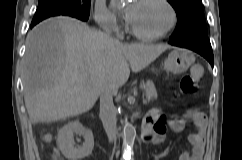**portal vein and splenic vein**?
I'll return each mask as SVG.
<instances>
[{
  "mask_svg": "<svg viewBox=\"0 0 242 160\" xmlns=\"http://www.w3.org/2000/svg\"><path fill=\"white\" fill-rule=\"evenodd\" d=\"M143 103H146V100H143Z\"/></svg>",
  "mask_w": 242,
  "mask_h": 160,
  "instance_id": "18ae733b",
  "label": "portal vein and splenic vein"
}]
</instances>
